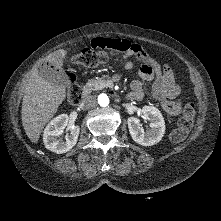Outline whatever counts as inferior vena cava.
I'll use <instances>...</instances> for the list:
<instances>
[{
	"label": "inferior vena cava",
	"mask_w": 221,
	"mask_h": 221,
	"mask_svg": "<svg viewBox=\"0 0 221 221\" xmlns=\"http://www.w3.org/2000/svg\"><path fill=\"white\" fill-rule=\"evenodd\" d=\"M82 106L86 109H90L97 104V99L94 96H87L82 100Z\"/></svg>",
	"instance_id": "1"
}]
</instances>
